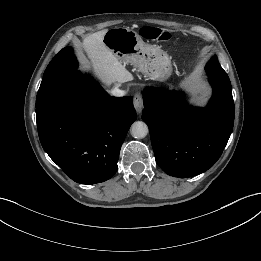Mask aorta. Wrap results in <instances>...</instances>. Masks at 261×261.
<instances>
[{
  "label": "aorta",
  "mask_w": 261,
  "mask_h": 261,
  "mask_svg": "<svg viewBox=\"0 0 261 261\" xmlns=\"http://www.w3.org/2000/svg\"><path fill=\"white\" fill-rule=\"evenodd\" d=\"M148 134V126L143 121H136L131 126V135L136 139H142Z\"/></svg>",
  "instance_id": "1"
}]
</instances>
